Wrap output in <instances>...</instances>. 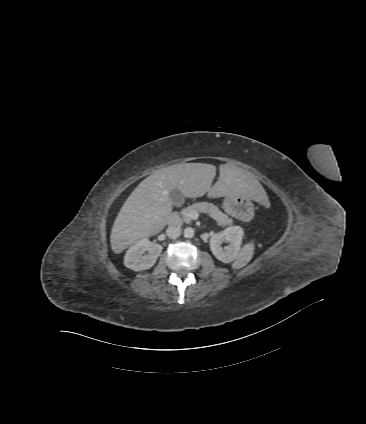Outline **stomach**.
<instances>
[{"label":"stomach","instance_id":"stomach-1","mask_svg":"<svg viewBox=\"0 0 366 424\" xmlns=\"http://www.w3.org/2000/svg\"><path fill=\"white\" fill-rule=\"evenodd\" d=\"M251 198L244 196H226L223 204L224 211L236 218H240L241 214L238 207H246L252 210Z\"/></svg>","mask_w":366,"mask_h":424}]
</instances>
